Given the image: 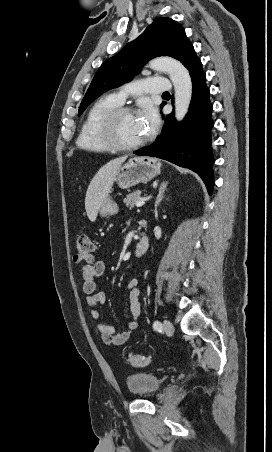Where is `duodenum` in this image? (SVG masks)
Wrapping results in <instances>:
<instances>
[{"label":"duodenum","mask_w":272,"mask_h":452,"mask_svg":"<svg viewBox=\"0 0 272 452\" xmlns=\"http://www.w3.org/2000/svg\"><path fill=\"white\" fill-rule=\"evenodd\" d=\"M140 224L144 229H146L145 221H141ZM149 244H150L149 237L146 233H144L143 236L141 237V239L138 241V243L135 246V256L142 257L144 255V253L147 251Z\"/></svg>","instance_id":"duodenum-1"}]
</instances>
